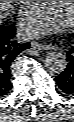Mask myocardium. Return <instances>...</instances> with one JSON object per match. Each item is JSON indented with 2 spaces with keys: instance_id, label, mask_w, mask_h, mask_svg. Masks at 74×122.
I'll return each mask as SVG.
<instances>
[{
  "instance_id": "1",
  "label": "myocardium",
  "mask_w": 74,
  "mask_h": 122,
  "mask_svg": "<svg viewBox=\"0 0 74 122\" xmlns=\"http://www.w3.org/2000/svg\"><path fill=\"white\" fill-rule=\"evenodd\" d=\"M71 21H74V1H73V9H72V14H71Z\"/></svg>"
}]
</instances>
